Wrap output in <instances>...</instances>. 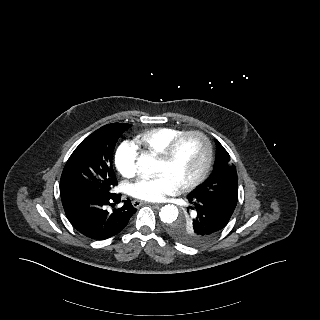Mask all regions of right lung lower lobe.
Listing matches in <instances>:
<instances>
[{
	"label": "right lung lower lobe",
	"instance_id": "98d812e1",
	"mask_svg": "<svg viewBox=\"0 0 320 320\" xmlns=\"http://www.w3.org/2000/svg\"><path fill=\"white\" fill-rule=\"evenodd\" d=\"M65 214L73 227L87 238L105 240L121 232L137 211L129 199L112 212L106 206L121 201V194L105 196L76 194L61 196ZM114 206V205H113Z\"/></svg>",
	"mask_w": 320,
	"mask_h": 320
}]
</instances>
